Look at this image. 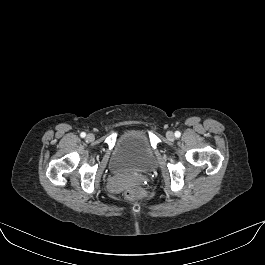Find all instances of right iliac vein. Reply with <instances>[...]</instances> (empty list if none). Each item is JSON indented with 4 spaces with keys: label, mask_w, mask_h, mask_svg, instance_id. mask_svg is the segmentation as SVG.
<instances>
[{
    "label": "right iliac vein",
    "mask_w": 265,
    "mask_h": 265,
    "mask_svg": "<svg viewBox=\"0 0 265 265\" xmlns=\"http://www.w3.org/2000/svg\"><path fill=\"white\" fill-rule=\"evenodd\" d=\"M94 139H95L94 134H92V133L87 134V136H86L87 141L92 142Z\"/></svg>",
    "instance_id": "1"
}]
</instances>
